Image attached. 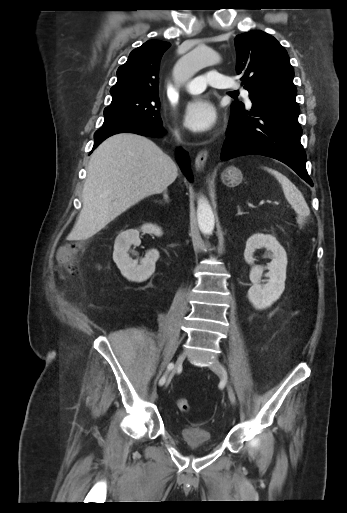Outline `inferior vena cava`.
I'll list each match as a JSON object with an SVG mask.
<instances>
[{
  "label": "inferior vena cava",
  "instance_id": "1",
  "mask_svg": "<svg viewBox=\"0 0 347 513\" xmlns=\"http://www.w3.org/2000/svg\"><path fill=\"white\" fill-rule=\"evenodd\" d=\"M176 136L179 138V134L178 133H176Z\"/></svg>",
  "mask_w": 347,
  "mask_h": 513
}]
</instances>
